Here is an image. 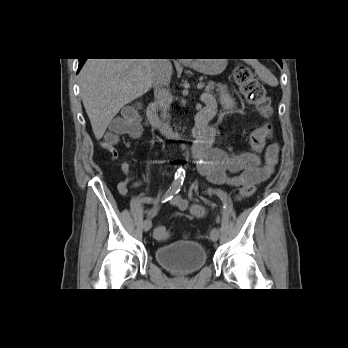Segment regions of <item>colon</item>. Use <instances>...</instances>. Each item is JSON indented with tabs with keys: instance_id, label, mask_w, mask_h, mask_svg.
Listing matches in <instances>:
<instances>
[{
	"instance_id": "colon-1",
	"label": "colon",
	"mask_w": 348,
	"mask_h": 348,
	"mask_svg": "<svg viewBox=\"0 0 348 348\" xmlns=\"http://www.w3.org/2000/svg\"><path fill=\"white\" fill-rule=\"evenodd\" d=\"M234 79L240 88L245 100L256 107L262 117L271 115V100L266 87L255 77L247 66H238L234 72ZM140 114L136 107H127L123 110L121 117L117 118L106 135V148L111 152L112 158L117 156L114 144L122 135H136L140 132ZM272 137V126L264 123L257 127L249 137L252 149L259 153ZM254 185H243L238 191V199L243 200L254 193ZM154 238L157 241H167L170 238L169 230L162 225L154 228Z\"/></svg>"
}]
</instances>
